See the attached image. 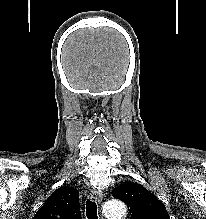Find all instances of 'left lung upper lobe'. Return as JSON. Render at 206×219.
Returning a JSON list of instances; mask_svg holds the SVG:
<instances>
[{"instance_id":"left-lung-upper-lobe-1","label":"left lung upper lobe","mask_w":206,"mask_h":219,"mask_svg":"<svg viewBox=\"0 0 206 219\" xmlns=\"http://www.w3.org/2000/svg\"><path fill=\"white\" fill-rule=\"evenodd\" d=\"M127 206L131 219H170L165 205L142 185L128 182L112 191Z\"/></svg>"}]
</instances>
